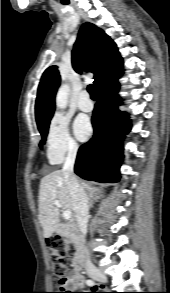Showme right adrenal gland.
Segmentation results:
<instances>
[{
    "label": "right adrenal gland",
    "mask_w": 170,
    "mask_h": 293,
    "mask_svg": "<svg viewBox=\"0 0 170 293\" xmlns=\"http://www.w3.org/2000/svg\"><path fill=\"white\" fill-rule=\"evenodd\" d=\"M88 201H89V208H92L94 201L102 197V194L98 190H91L87 193Z\"/></svg>",
    "instance_id": "right-adrenal-gland-1"
}]
</instances>
